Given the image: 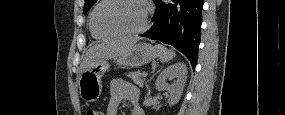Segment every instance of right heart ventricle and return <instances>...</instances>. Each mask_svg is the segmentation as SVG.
I'll return each mask as SVG.
<instances>
[{
  "label": "right heart ventricle",
  "mask_w": 285,
  "mask_h": 115,
  "mask_svg": "<svg viewBox=\"0 0 285 115\" xmlns=\"http://www.w3.org/2000/svg\"><path fill=\"white\" fill-rule=\"evenodd\" d=\"M89 29H90V33H91V35H92V37L94 39L105 40V39H110V38L113 37L111 35L103 34V33L99 32L98 30H96L95 27L92 24L91 15H90V18H89Z\"/></svg>",
  "instance_id": "1"
}]
</instances>
